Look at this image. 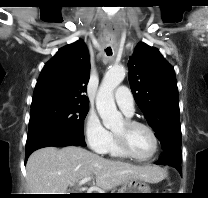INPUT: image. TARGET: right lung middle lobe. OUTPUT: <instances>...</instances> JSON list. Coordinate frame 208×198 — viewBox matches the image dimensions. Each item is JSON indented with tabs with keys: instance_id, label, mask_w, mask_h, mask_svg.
I'll use <instances>...</instances> for the list:
<instances>
[{
	"instance_id": "right-lung-middle-lobe-1",
	"label": "right lung middle lobe",
	"mask_w": 208,
	"mask_h": 198,
	"mask_svg": "<svg viewBox=\"0 0 208 198\" xmlns=\"http://www.w3.org/2000/svg\"><path fill=\"white\" fill-rule=\"evenodd\" d=\"M88 104L53 102L31 107L28 137L47 130H64L84 139Z\"/></svg>"
}]
</instances>
